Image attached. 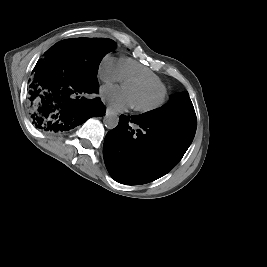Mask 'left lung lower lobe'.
<instances>
[{
    "mask_svg": "<svg viewBox=\"0 0 267 267\" xmlns=\"http://www.w3.org/2000/svg\"><path fill=\"white\" fill-rule=\"evenodd\" d=\"M130 123L140 129L135 132ZM195 131L182 124L121 115L119 124L105 137L103 156L107 170L114 180L123 184L156 180L181 160Z\"/></svg>",
    "mask_w": 267,
    "mask_h": 267,
    "instance_id": "obj_1",
    "label": "left lung lower lobe"
}]
</instances>
